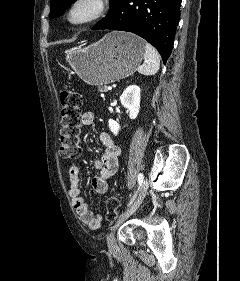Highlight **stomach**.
I'll list each match as a JSON object with an SVG mask.
<instances>
[{"mask_svg":"<svg viewBox=\"0 0 240 281\" xmlns=\"http://www.w3.org/2000/svg\"><path fill=\"white\" fill-rule=\"evenodd\" d=\"M144 46L145 42L136 35L111 32L83 49L66 51V61L87 84H109L137 70Z\"/></svg>","mask_w":240,"mask_h":281,"instance_id":"1","label":"stomach"}]
</instances>
